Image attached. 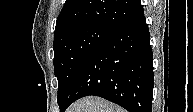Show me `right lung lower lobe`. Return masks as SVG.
Here are the masks:
<instances>
[{
  "mask_svg": "<svg viewBox=\"0 0 193 112\" xmlns=\"http://www.w3.org/2000/svg\"><path fill=\"white\" fill-rule=\"evenodd\" d=\"M149 40L144 11L113 30L79 69L60 112L89 95L129 112H151L154 74Z\"/></svg>",
  "mask_w": 193,
  "mask_h": 112,
  "instance_id": "1",
  "label": "right lung lower lobe"
}]
</instances>
